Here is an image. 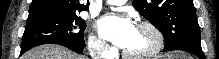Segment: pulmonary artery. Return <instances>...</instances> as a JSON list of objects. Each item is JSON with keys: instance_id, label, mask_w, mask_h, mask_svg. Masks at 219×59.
<instances>
[{"instance_id": "pulmonary-artery-1", "label": "pulmonary artery", "mask_w": 219, "mask_h": 59, "mask_svg": "<svg viewBox=\"0 0 219 59\" xmlns=\"http://www.w3.org/2000/svg\"><path fill=\"white\" fill-rule=\"evenodd\" d=\"M125 2L126 1H124V0H107L106 4H108V5H122Z\"/></svg>"}]
</instances>
